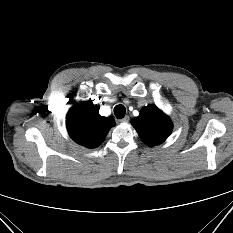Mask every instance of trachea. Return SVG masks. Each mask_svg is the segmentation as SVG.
Instances as JSON below:
<instances>
[{
    "label": "trachea",
    "instance_id": "obj_1",
    "mask_svg": "<svg viewBox=\"0 0 233 233\" xmlns=\"http://www.w3.org/2000/svg\"><path fill=\"white\" fill-rule=\"evenodd\" d=\"M126 109L123 105L119 104L114 107V114L117 119H121L125 116Z\"/></svg>",
    "mask_w": 233,
    "mask_h": 233
}]
</instances>
